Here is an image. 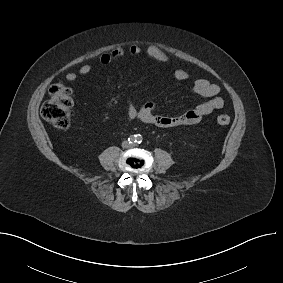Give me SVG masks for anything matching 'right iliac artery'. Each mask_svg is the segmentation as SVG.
<instances>
[{
	"instance_id": "right-iliac-artery-1",
	"label": "right iliac artery",
	"mask_w": 283,
	"mask_h": 283,
	"mask_svg": "<svg viewBox=\"0 0 283 283\" xmlns=\"http://www.w3.org/2000/svg\"><path fill=\"white\" fill-rule=\"evenodd\" d=\"M128 141H129V143H135V142H137V135H131V136L128 138Z\"/></svg>"
}]
</instances>
